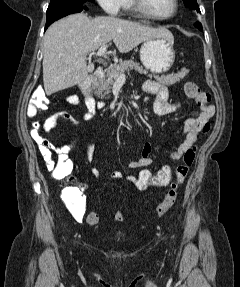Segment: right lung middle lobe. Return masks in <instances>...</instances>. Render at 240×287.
Returning <instances> with one entry per match:
<instances>
[{"mask_svg":"<svg viewBox=\"0 0 240 287\" xmlns=\"http://www.w3.org/2000/svg\"><path fill=\"white\" fill-rule=\"evenodd\" d=\"M94 1L95 0H51L48 6V9H47L46 15L58 9L86 5Z\"/></svg>","mask_w":240,"mask_h":287,"instance_id":"1","label":"right lung middle lobe"}]
</instances>
